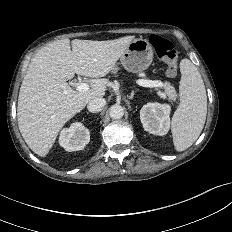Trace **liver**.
I'll return each mask as SVG.
<instances>
[{"label":"liver","mask_w":232,"mask_h":232,"mask_svg":"<svg viewBox=\"0 0 232 232\" xmlns=\"http://www.w3.org/2000/svg\"><path fill=\"white\" fill-rule=\"evenodd\" d=\"M133 40L134 36L107 41L74 39L70 47V40L62 39L35 54L22 81L17 107L19 130L35 154L45 157L63 125L90 100L105 95L109 81L103 77ZM75 73L94 78L88 91H75L66 82Z\"/></svg>","instance_id":"liver-1"}]
</instances>
